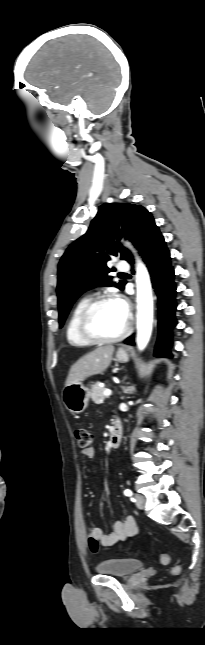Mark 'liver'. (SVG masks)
<instances>
[{
    "instance_id": "liver-1",
    "label": "liver",
    "mask_w": 205,
    "mask_h": 645,
    "mask_svg": "<svg viewBox=\"0 0 205 645\" xmlns=\"http://www.w3.org/2000/svg\"><path fill=\"white\" fill-rule=\"evenodd\" d=\"M113 352V346H102L81 357L70 368L65 386L102 373L109 367Z\"/></svg>"
}]
</instances>
